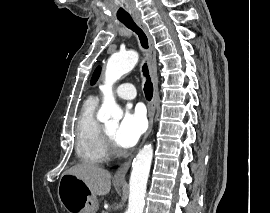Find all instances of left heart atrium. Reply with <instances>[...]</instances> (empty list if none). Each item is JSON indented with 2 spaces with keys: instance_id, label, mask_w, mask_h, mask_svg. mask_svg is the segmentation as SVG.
<instances>
[{
  "instance_id": "39dd6f15",
  "label": "left heart atrium",
  "mask_w": 270,
  "mask_h": 213,
  "mask_svg": "<svg viewBox=\"0 0 270 213\" xmlns=\"http://www.w3.org/2000/svg\"><path fill=\"white\" fill-rule=\"evenodd\" d=\"M146 129V119L140 110H128L117 127L114 140L122 149L133 147Z\"/></svg>"
}]
</instances>
